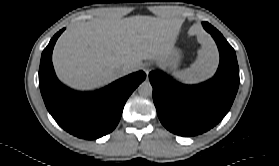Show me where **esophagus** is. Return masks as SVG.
Returning <instances> with one entry per match:
<instances>
[{"mask_svg": "<svg viewBox=\"0 0 279 166\" xmlns=\"http://www.w3.org/2000/svg\"><path fill=\"white\" fill-rule=\"evenodd\" d=\"M143 70L145 71V73L147 74V77H148L149 72L152 70L151 65L145 64L143 67Z\"/></svg>", "mask_w": 279, "mask_h": 166, "instance_id": "esophagus-1", "label": "esophagus"}]
</instances>
